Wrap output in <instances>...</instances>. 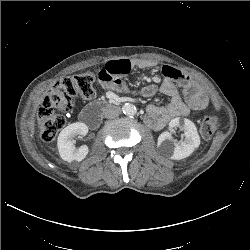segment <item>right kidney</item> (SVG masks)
Here are the masks:
<instances>
[{"mask_svg": "<svg viewBox=\"0 0 250 250\" xmlns=\"http://www.w3.org/2000/svg\"><path fill=\"white\" fill-rule=\"evenodd\" d=\"M88 133V127L82 122H75L65 127L58 136L57 146L60 157L67 162L76 160L82 161L89 150L86 145L75 149L73 137L76 135L85 136Z\"/></svg>", "mask_w": 250, "mask_h": 250, "instance_id": "right-kidney-1", "label": "right kidney"}]
</instances>
